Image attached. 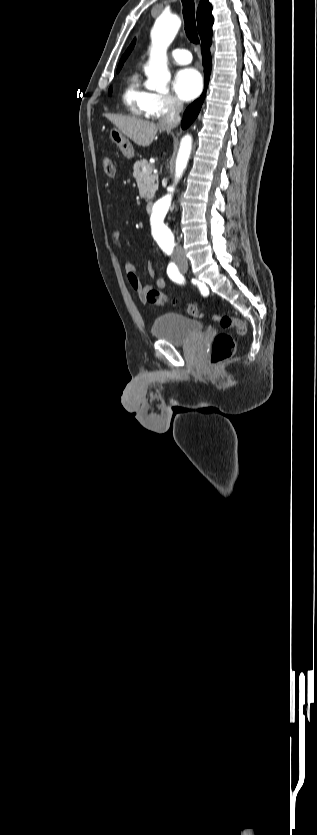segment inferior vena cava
Wrapping results in <instances>:
<instances>
[{
	"label": "inferior vena cava",
	"instance_id": "obj_1",
	"mask_svg": "<svg viewBox=\"0 0 317 835\" xmlns=\"http://www.w3.org/2000/svg\"><path fill=\"white\" fill-rule=\"evenodd\" d=\"M182 109L183 104L180 101L176 99L172 100L168 112L159 120L160 127L169 133L172 128L178 126L180 122V112L182 111ZM174 256L176 259H179L184 256L182 247L180 245L176 246Z\"/></svg>",
	"mask_w": 317,
	"mask_h": 835
}]
</instances>
